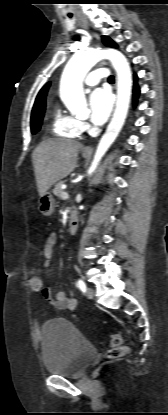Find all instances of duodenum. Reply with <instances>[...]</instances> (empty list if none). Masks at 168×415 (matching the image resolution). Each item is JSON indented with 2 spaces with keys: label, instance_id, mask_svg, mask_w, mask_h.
Masks as SVG:
<instances>
[{
  "label": "duodenum",
  "instance_id": "duodenum-1",
  "mask_svg": "<svg viewBox=\"0 0 168 415\" xmlns=\"http://www.w3.org/2000/svg\"><path fill=\"white\" fill-rule=\"evenodd\" d=\"M78 215L74 208L70 209L69 213V221L67 226V233L68 234H74L77 231L78 228Z\"/></svg>",
  "mask_w": 168,
  "mask_h": 415
}]
</instances>
